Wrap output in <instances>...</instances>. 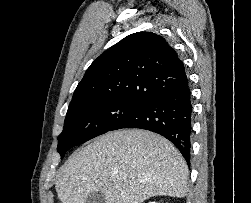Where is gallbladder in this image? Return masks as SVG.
Instances as JSON below:
<instances>
[{"label": "gallbladder", "instance_id": "1", "mask_svg": "<svg viewBox=\"0 0 251 203\" xmlns=\"http://www.w3.org/2000/svg\"><path fill=\"white\" fill-rule=\"evenodd\" d=\"M86 203H105V198L102 192H93L89 195Z\"/></svg>", "mask_w": 251, "mask_h": 203}]
</instances>
